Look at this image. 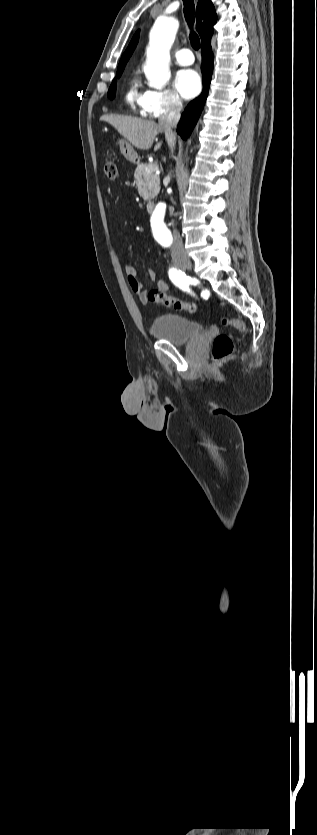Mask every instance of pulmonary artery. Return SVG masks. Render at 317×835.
<instances>
[{
    "mask_svg": "<svg viewBox=\"0 0 317 835\" xmlns=\"http://www.w3.org/2000/svg\"><path fill=\"white\" fill-rule=\"evenodd\" d=\"M174 56L177 63L183 66L191 65L194 62L193 54L188 48L177 50L174 53Z\"/></svg>",
    "mask_w": 317,
    "mask_h": 835,
    "instance_id": "1",
    "label": "pulmonary artery"
}]
</instances>
